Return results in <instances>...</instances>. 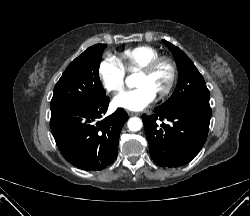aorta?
<instances>
[{"mask_svg": "<svg viewBox=\"0 0 250 216\" xmlns=\"http://www.w3.org/2000/svg\"><path fill=\"white\" fill-rule=\"evenodd\" d=\"M129 80V79H128ZM128 82V81H127ZM128 129L133 132H137L141 130L143 126V122L140 118L138 117H132L128 120L127 122Z\"/></svg>", "mask_w": 250, "mask_h": 216, "instance_id": "762f6f07", "label": "aorta"}]
</instances>
